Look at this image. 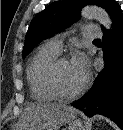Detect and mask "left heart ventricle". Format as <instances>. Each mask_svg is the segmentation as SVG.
I'll return each instance as SVG.
<instances>
[{
    "label": "left heart ventricle",
    "mask_w": 123,
    "mask_h": 130,
    "mask_svg": "<svg viewBox=\"0 0 123 130\" xmlns=\"http://www.w3.org/2000/svg\"><path fill=\"white\" fill-rule=\"evenodd\" d=\"M58 78L62 88L67 92L77 90L84 80L75 72L71 62L62 61L58 67Z\"/></svg>",
    "instance_id": "left-heart-ventricle-1"
}]
</instances>
